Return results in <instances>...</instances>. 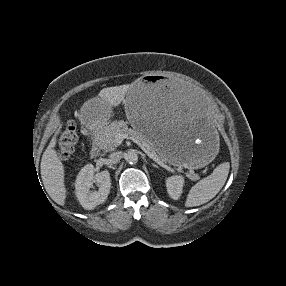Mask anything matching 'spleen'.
<instances>
[{
    "label": "spleen",
    "instance_id": "3e777b00",
    "mask_svg": "<svg viewBox=\"0 0 286 286\" xmlns=\"http://www.w3.org/2000/svg\"><path fill=\"white\" fill-rule=\"evenodd\" d=\"M230 169L229 162L219 164L213 173L197 182L189 191L185 206L195 207L213 199L224 186Z\"/></svg>",
    "mask_w": 286,
    "mask_h": 286
}]
</instances>
